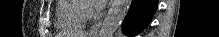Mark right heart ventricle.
Returning <instances> with one entry per match:
<instances>
[{
  "label": "right heart ventricle",
  "mask_w": 219,
  "mask_h": 37,
  "mask_svg": "<svg viewBox=\"0 0 219 37\" xmlns=\"http://www.w3.org/2000/svg\"><path fill=\"white\" fill-rule=\"evenodd\" d=\"M86 9L81 0H60L57 6V26L60 29H78L84 26Z\"/></svg>",
  "instance_id": "e07e8e85"
}]
</instances>
